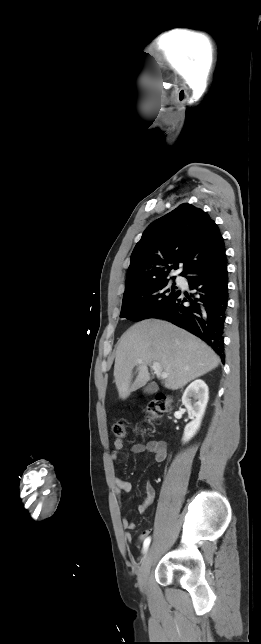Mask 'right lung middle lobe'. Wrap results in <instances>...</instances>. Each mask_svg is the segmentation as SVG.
I'll return each instance as SVG.
<instances>
[{"mask_svg": "<svg viewBox=\"0 0 261 644\" xmlns=\"http://www.w3.org/2000/svg\"><path fill=\"white\" fill-rule=\"evenodd\" d=\"M180 292L167 279L127 288L123 295L120 317L132 321L152 318L173 303Z\"/></svg>", "mask_w": 261, "mask_h": 644, "instance_id": "1", "label": "right lung middle lobe"}]
</instances>
